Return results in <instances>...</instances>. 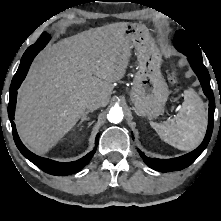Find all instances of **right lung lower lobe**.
Masks as SVG:
<instances>
[{
  "mask_svg": "<svg viewBox=\"0 0 221 221\" xmlns=\"http://www.w3.org/2000/svg\"><path fill=\"white\" fill-rule=\"evenodd\" d=\"M47 37H45V39ZM45 45H46V41H43L41 45H39L36 48H34L33 45H31L22 56L19 68L16 74L14 75L12 82H11V86H10V100L8 104V116L12 125V133H13L15 144L17 148L19 149V151L22 153V155L26 157L28 160H30L33 164H35L41 170L52 175L64 176V175H69V174L78 172L80 169H82L85 165L89 163V161L91 160V158L93 157L96 151V146L98 145L99 134L97 135V138L95 140V148L90 153H88L86 156H84L83 158L77 161L62 163V162H57V161L50 160L47 158L39 157L33 154L31 151H29L19 139V136L16 131L15 123L13 122L15 106H16V98H17V89L20 87L22 81L24 80L29 70L32 60L38 54V52L43 47H45Z\"/></svg>",
  "mask_w": 221,
  "mask_h": 221,
  "instance_id": "98d812e1",
  "label": "right lung lower lobe"
}]
</instances>
